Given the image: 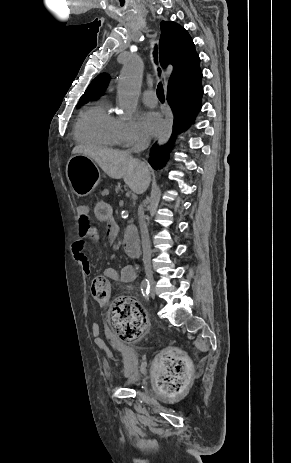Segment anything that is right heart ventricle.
<instances>
[{
  "instance_id": "right-heart-ventricle-1",
  "label": "right heart ventricle",
  "mask_w": 291,
  "mask_h": 463,
  "mask_svg": "<svg viewBox=\"0 0 291 463\" xmlns=\"http://www.w3.org/2000/svg\"><path fill=\"white\" fill-rule=\"evenodd\" d=\"M120 120L102 101L83 110L75 124L74 137L82 144L114 147L121 143Z\"/></svg>"
}]
</instances>
